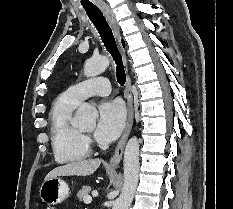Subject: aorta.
Wrapping results in <instances>:
<instances>
[{
    "mask_svg": "<svg viewBox=\"0 0 233 209\" xmlns=\"http://www.w3.org/2000/svg\"><path fill=\"white\" fill-rule=\"evenodd\" d=\"M109 65V59L105 56L91 58L85 62L84 74L86 77H94L104 72ZM97 118L96 109L83 104L78 108L73 119V125L83 129H93ZM139 175V141L132 137L126 144L124 152V184L121 195L114 202L112 209H129L138 185Z\"/></svg>",
    "mask_w": 233,
    "mask_h": 209,
    "instance_id": "1",
    "label": "aorta"
}]
</instances>
